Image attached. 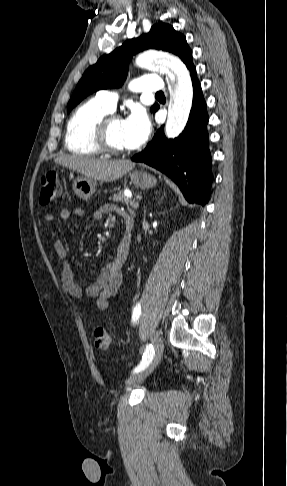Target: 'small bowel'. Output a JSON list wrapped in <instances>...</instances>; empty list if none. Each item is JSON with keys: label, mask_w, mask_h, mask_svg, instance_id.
<instances>
[{"label": "small bowel", "mask_w": 287, "mask_h": 486, "mask_svg": "<svg viewBox=\"0 0 287 486\" xmlns=\"http://www.w3.org/2000/svg\"><path fill=\"white\" fill-rule=\"evenodd\" d=\"M104 214L121 215L126 218L125 214L118 206L114 204H105L99 209L93 211L92 218L100 220ZM85 211L82 208L63 209L59 213V218L67 221L72 217L82 218ZM57 220L54 214L48 213L44 216L46 223H53ZM130 247V237L124 233L116 246V254L110 261L101 264L94 277L84 278L75 281L72 270L68 263V252L64 242L58 239L54 243V251L61 264V281L62 286L71 296L82 298L84 295L95 298L100 309L105 310L108 307L109 299L114 296L122 283V268L127 261Z\"/></svg>", "instance_id": "obj_1"}]
</instances>
